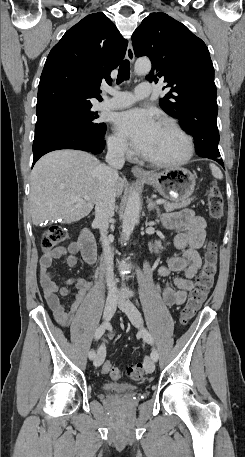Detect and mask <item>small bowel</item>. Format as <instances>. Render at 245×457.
Instances as JSON below:
<instances>
[{"instance_id": "c3829d8e", "label": "small bowel", "mask_w": 245, "mask_h": 457, "mask_svg": "<svg viewBox=\"0 0 245 457\" xmlns=\"http://www.w3.org/2000/svg\"><path fill=\"white\" fill-rule=\"evenodd\" d=\"M162 224L170 230H181L174 237V245L177 249L183 250L181 256L170 257L166 265L158 268L157 273L160 277H167L172 272H182V275L174 278V286H164L162 297L168 306L182 305L188 292L193 289L192 279L202 264L198 250L204 244L207 224L203 217L190 209L163 215ZM79 249L78 242H70L67 246L57 247L44 254L40 259V284L57 322L63 327L70 328L72 342L80 349L86 350L90 345V338L83 328L74 324V316L92 283L82 278H70L63 285H59L50 272L53 261L61 258L65 259L67 267L74 268L77 265L76 254ZM70 287L74 288V296L67 304H63L59 295H69Z\"/></svg>"}]
</instances>
